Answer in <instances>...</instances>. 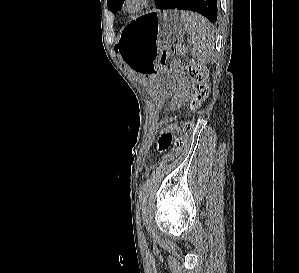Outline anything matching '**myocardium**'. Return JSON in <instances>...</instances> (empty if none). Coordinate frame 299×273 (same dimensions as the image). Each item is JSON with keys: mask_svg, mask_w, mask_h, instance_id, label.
<instances>
[{"mask_svg": "<svg viewBox=\"0 0 299 273\" xmlns=\"http://www.w3.org/2000/svg\"><path fill=\"white\" fill-rule=\"evenodd\" d=\"M151 0H124L123 8L129 14H137L146 9Z\"/></svg>", "mask_w": 299, "mask_h": 273, "instance_id": "f54148a6", "label": "myocardium"}]
</instances>
